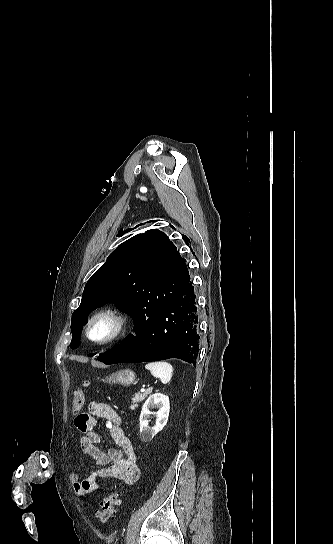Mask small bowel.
Instances as JSON below:
<instances>
[{"mask_svg":"<svg viewBox=\"0 0 333 544\" xmlns=\"http://www.w3.org/2000/svg\"><path fill=\"white\" fill-rule=\"evenodd\" d=\"M99 419H103L108 427L110 436L116 445L107 452L100 448L102 442L97 432ZM121 415L106 402L92 401L88 406V413L78 415L74 424L81 432V449L91 456L100 466L90 476L82 479L77 472L69 475L74 492L79 497L94 493L101 487L100 480L113 478L115 480L133 484L140 476V469L134 447L122 428Z\"/></svg>","mask_w":333,"mask_h":544,"instance_id":"small-bowel-1","label":"small bowel"}]
</instances>
